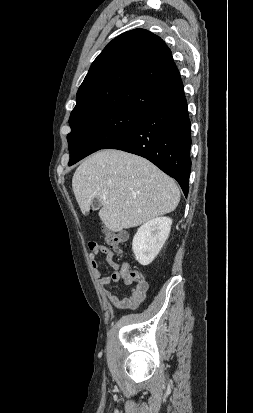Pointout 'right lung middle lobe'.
<instances>
[{
  "instance_id": "dd1d6c3e",
  "label": "right lung middle lobe",
  "mask_w": 253,
  "mask_h": 413,
  "mask_svg": "<svg viewBox=\"0 0 253 413\" xmlns=\"http://www.w3.org/2000/svg\"><path fill=\"white\" fill-rule=\"evenodd\" d=\"M145 115L137 111L118 109L71 122V132L67 135L69 166L128 134L140 124Z\"/></svg>"
}]
</instances>
